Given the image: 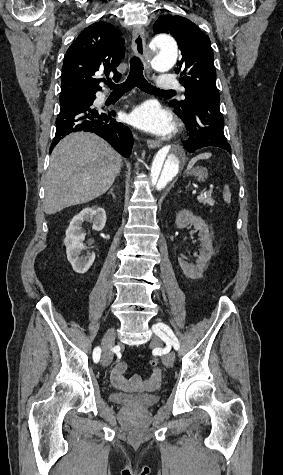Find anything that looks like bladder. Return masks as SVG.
<instances>
[{
	"label": "bladder",
	"mask_w": 283,
	"mask_h": 475,
	"mask_svg": "<svg viewBox=\"0 0 283 475\" xmlns=\"http://www.w3.org/2000/svg\"><path fill=\"white\" fill-rule=\"evenodd\" d=\"M117 403L148 408L159 401L158 394H132V393H112L110 394Z\"/></svg>",
	"instance_id": "1"
}]
</instances>
